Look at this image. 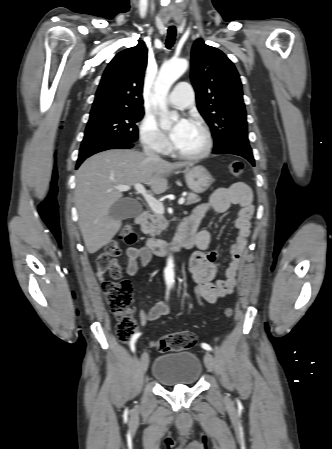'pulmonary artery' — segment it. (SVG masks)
I'll return each mask as SVG.
<instances>
[{
  "label": "pulmonary artery",
  "mask_w": 332,
  "mask_h": 449,
  "mask_svg": "<svg viewBox=\"0 0 332 449\" xmlns=\"http://www.w3.org/2000/svg\"><path fill=\"white\" fill-rule=\"evenodd\" d=\"M194 90L190 83L182 81L176 84L168 96V102L177 108H187L193 104Z\"/></svg>",
  "instance_id": "e3ab8cb5"
}]
</instances>
